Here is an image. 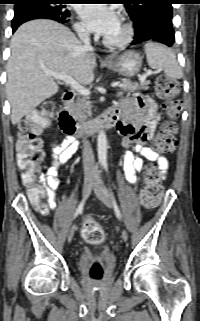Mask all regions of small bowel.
<instances>
[{
  "label": "small bowel",
  "instance_id": "obj_1",
  "mask_svg": "<svg viewBox=\"0 0 200 321\" xmlns=\"http://www.w3.org/2000/svg\"><path fill=\"white\" fill-rule=\"evenodd\" d=\"M119 114L116 127L123 136V146L133 148L126 151L123 158V169L127 180L135 185L138 175L144 167V160L154 161L162 174L168 170V160L157 151L147 146L152 140L161 115L157 103L150 97L136 93L132 98H122L112 107ZM78 150V142L73 136H67L52 146V164L46 173L40 175L43 194L47 198L50 209L56 207L57 190L60 187L58 179L60 167L65 166Z\"/></svg>",
  "mask_w": 200,
  "mask_h": 321
}]
</instances>
